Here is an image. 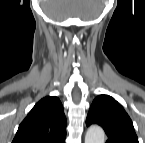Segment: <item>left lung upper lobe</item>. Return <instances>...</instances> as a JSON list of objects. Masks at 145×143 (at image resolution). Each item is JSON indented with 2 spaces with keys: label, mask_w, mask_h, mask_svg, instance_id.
Returning a JSON list of instances; mask_svg holds the SVG:
<instances>
[{
  "label": "left lung upper lobe",
  "mask_w": 145,
  "mask_h": 143,
  "mask_svg": "<svg viewBox=\"0 0 145 143\" xmlns=\"http://www.w3.org/2000/svg\"><path fill=\"white\" fill-rule=\"evenodd\" d=\"M87 126L98 124L108 135L106 143H139L133 123L123 107L109 95H99L93 101Z\"/></svg>",
  "instance_id": "left-lung-upper-lobe-1"
}]
</instances>
